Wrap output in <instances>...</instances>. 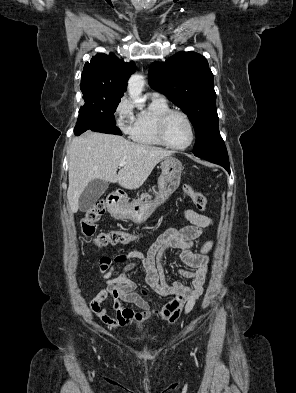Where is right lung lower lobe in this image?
I'll return each instance as SVG.
<instances>
[{
    "label": "right lung lower lobe",
    "instance_id": "obj_1",
    "mask_svg": "<svg viewBox=\"0 0 296 393\" xmlns=\"http://www.w3.org/2000/svg\"><path fill=\"white\" fill-rule=\"evenodd\" d=\"M86 130H92V131L107 133V134L122 135L120 129L115 126H108L91 120H87L84 122L77 121L76 126L74 128L75 135L79 136L81 133L85 132Z\"/></svg>",
    "mask_w": 296,
    "mask_h": 393
}]
</instances>
